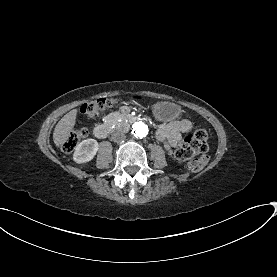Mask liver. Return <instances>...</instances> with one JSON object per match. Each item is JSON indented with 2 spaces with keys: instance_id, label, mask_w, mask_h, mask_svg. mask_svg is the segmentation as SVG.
Here are the masks:
<instances>
[{
  "instance_id": "6515ba94",
  "label": "liver",
  "mask_w": 277,
  "mask_h": 277,
  "mask_svg": "<svg viewBox=\"0 0 277 277\" xmlns=\"http://www.w3.org/2000/svg\"><path fill=\"white\" fill-rule=\"evenodd\" d=\"M78 109L69 111L56 125L53 132V141L56 147H61L71 135L78 117Z\"/></svg>"
}]
</instances>
